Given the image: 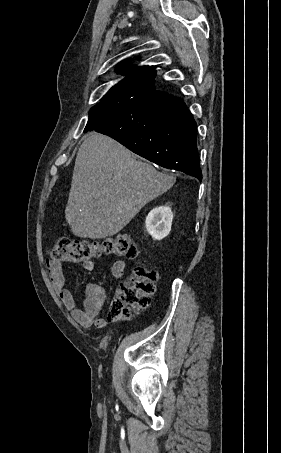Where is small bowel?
<instances>
[{"instance_id":"obj_1","label":"small bowel","mask_w":281,"mask_h":453,"mask_svg":"<svg viewBox=\"0 0 281 453\" xmlns=\"http://www.w3.org/2000/svg\"><path fill=\"white\" fill-rule=\"evenodd\" d=\"M86 267L89 270H94L95 264L90 261L86 264ZM47 269L59 297L82 327L89 328L94 325L96 328L101 329L107 325L106 320L101 315L107 295L104 286L99 283H87L84 288L83 307L79 308L71 291L66 287L60 261L55 258L49 259ZM125 270L126 262L121 259L116 260L113 268L115 279L122 280Z\"/></svg>"}]
</instances>
